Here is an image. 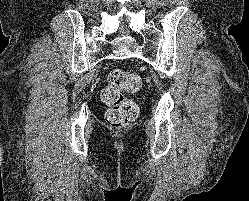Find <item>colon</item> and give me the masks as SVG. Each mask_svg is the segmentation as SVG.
<instances>
[{"label": "colon", "mask_w": 249, "mask_h": 201, "mask_svg": "<svg viewBox=\"0 0 249 201\" xmlns=\"http://www.w3.org/2000/svg\"><path fill=\"white\" fill-rule=\"evenodd\" d=\"M140 84V78L136 74L121 69H114L108 74V84L101 92V99L108 106L105 114L108 126L124 129L136 120L138 105L123 92H134L139 89Z\"/></svg>", "instance_id": "5ec220e1"}]
</instances>
